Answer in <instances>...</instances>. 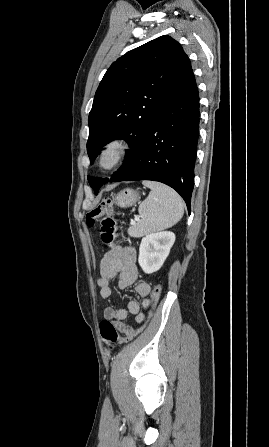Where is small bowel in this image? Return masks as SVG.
<instances>
[{"instance_id": "c3829d8e", "label": "small bowel", "mask_w": 269, "mask_h": 447, "mask_svg": "<svg viewBox=\"0 0 269 447\" xmlns=\"http://www.w3.org/2000/svg\"><path fill=\"white\" fill-rule=\"evenodd\" d=\"M138 269L136 266V253L133 247H112L102 258L100 263V274L97 277V284L100 287V295L103 299H110L113 295L111 284L116 282L118 288L126 289L134 285L135 292L143 298L142 305H149L148 296L151 286L148 282L137 280ZM140 305L135 300L127 303L126 309L106 308L103 312L104 318L114 321L113 326L125 331L123 321L128 314H138ZM140 316L138 317V319Z\"/></svg>"}]
</instances>
